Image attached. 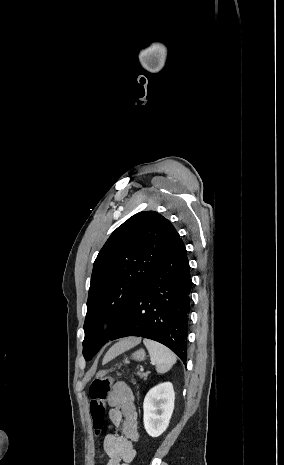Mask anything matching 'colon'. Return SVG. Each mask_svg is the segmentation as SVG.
Wrapping results in <instances>:
<instances>
[{
	"label": "colon",
	"mask_w": 284,
	"mask_h": 465,
	"mask_svg": "<svg viewBox=\"0 0 284 465\" xmlns=\"http://www.w3.org/2000/svg\"><path fill=\"white\" fill-rule=\"evenodd\" d=\"M112 381L113 377L100 375L94 379L89 387L90 404L95 406L96 412L91 416L95 430H104L106 427L102 413L106 412L105 402L109 394V385Z\"/></svg>",
	"instance_id": "colon-1"
}]
</instances>
